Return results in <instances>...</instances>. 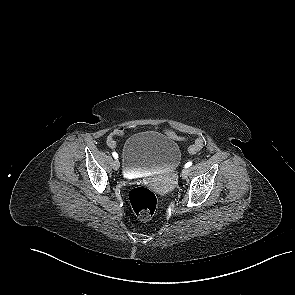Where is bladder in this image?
I'll return each instance as SVG.
<instances>
[{"label":"bladder","mask_w":295,"mask_h":295,"mask_svg":"<svg viewBox=\"0 0 295 295\" xmlns=\"http://www.w3.org/2000/svg\"><path fill=\"white\" fill-rule=\"evenodd\" d=\"M123 172L127 177L146 172H169L181 162L178 144L165 134L144 131L132 135L121 153Z\"/></svg>","instance_id":"obj_1"}]
</instances>
